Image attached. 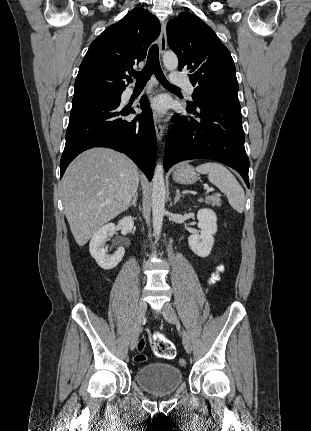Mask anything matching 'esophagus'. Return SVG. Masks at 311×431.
I'll return each mask as SVG.
<instances>
[{
	"mask_svg": "<svg viewBox=\"0 0 311 431\" xmlns=\"http://www.w3.org/2000/svg\"><path fill=\"white\" fill-rule=\"evenodd\" d=\"M166 26H167V20H163L161 25L160 39H159V52L161 55H163V53L167 48ZM153 117H154V127L156 131V138L159 142H162L165 127L161 124L160 117L158 116L157 113L154 112Z\"/></svg>",
	"mask_w": 311,
	"mask_h": 431,
	"instance_id": "1",
	"label": "esophagus"
}]
</instances>
